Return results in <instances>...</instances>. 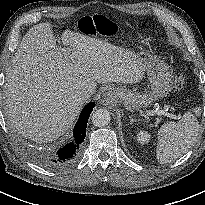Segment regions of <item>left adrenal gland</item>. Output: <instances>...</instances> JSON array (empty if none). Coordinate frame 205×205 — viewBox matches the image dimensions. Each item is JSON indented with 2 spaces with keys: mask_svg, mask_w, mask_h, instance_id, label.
Instances as JSON below:
<instances>
[{
  "mask_svg": "<svg viewBox=\"0 0 205 205\" xmlns=\"http://www.w3.org/2000/svg\"><path fill=\"white\" fill-rule=\"evenodd\" d=\"M129 118H130V122H131V123H133V122H135V121H136V119H133V117H132V116H129Z\"/></svg>",
  "mask_w": 205,
  "mask_h": 205,
  "instance_id": "left-adrenal-gland-1",
  "label": "left adrenal gland"
}]
</instances>
